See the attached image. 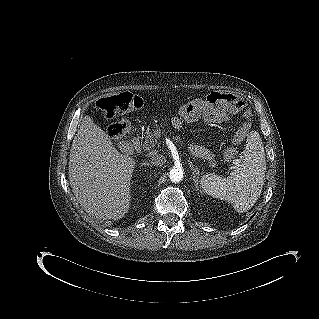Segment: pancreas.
Wrapping results in <instances>:
<instances>
[{"label": "pancreas", "mask_w": 319, "mask_h": 319, "mask_svg": "<svg viewBox=\"0 0 319 319\" xmlns=\"http://www.w3.org/2000/svg\"><path fill=\"white\" fill-rule=\"evenodd\" d=\"M157 144V140L154 136V134L152 132H150L149 130L146 131V137L143 141V144L141 145V147L146 150L149 151L151 149H153ZM208 159V163L210 166H215V160L212 157H207Z\"/></svg>", "instance_id": "pancreas-1"}]
</instances>
